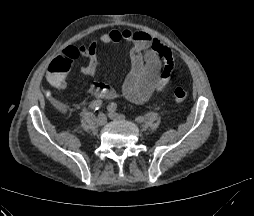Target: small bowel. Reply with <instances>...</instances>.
I'll return each mask as SVG.
<instances>
[{"label":"small bowel","instance_id":"obj_1","mask_svg":"<svg viewBox=\"0 0 254 216\" xmlns=\"http://www.w3.org/2000/svg\"><path fill=\"white\" fill-rule=\"evenodd\" d=\"M101 44L125 42L129 44L131 68L120 89H116L102 82H94L90 88V95L96 99L112 100L120 96L134 103L147 101L154 93L161 91L170 79L176 57L161 40L139 30L113 29L100 36ZM98 43L93 41L78 48L67 47L61 56L64 64H70L77 56L87 60L82 73L88 77H95L98 70ZM49 84L64 90L68 84L66 72L57 80L47 76Z\"/></svg>","mask_w":254,"mask_h":216}]
</instances>
